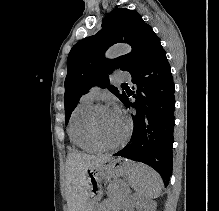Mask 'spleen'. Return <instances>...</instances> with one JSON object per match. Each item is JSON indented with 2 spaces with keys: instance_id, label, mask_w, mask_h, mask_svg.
Returning a JSON list of instances; mask_svg holds the SVG:
<instances>
[{
  "instance_id": "3e777b00",
  "label": "spleen",
  "mask_w": 219,
  "mask_h": 211,
  "mask_svg": "<svg viewBox=\"0 0 219 211\" xmlns=\"http://www.w3.org/2000/svg\"><path fill=\"white\" fill-rule=\"evenodd\" d=\"M129 181L139 193L141 199L159 197L163 187L161 175L149 165H145V163L137 165L136 169L129 175Z\"/></svg>"
}]
</instances>
